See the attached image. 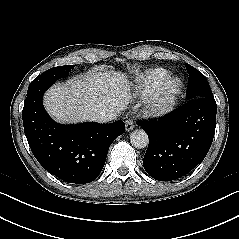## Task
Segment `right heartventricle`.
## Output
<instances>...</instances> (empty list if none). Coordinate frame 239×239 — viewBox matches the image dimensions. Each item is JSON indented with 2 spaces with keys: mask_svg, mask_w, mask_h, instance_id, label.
I'll return each instance as SVG.
<instances>
[{
  "mask_svg": "<svg viewBox=\"0 0 239 239\" xmlns=\"http://www.w3.org/2000/svg\"><path fill=\"white\" fill-rule=\"evenodd\" d=\"M167 77H169V71L164 68L148 69L136 79V92L142 96H145Z\"/></svg>",
  "mask_w": 239,
  "mask_h": 239,
  "instance_id": "obj_1",
  "label": "right heart ventricle"
}]
</instances>
